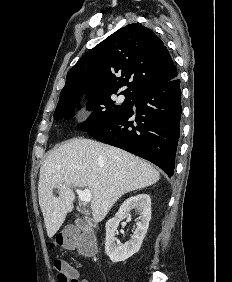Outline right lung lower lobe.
Instances as JSON below:
<instances>
[{"label":"right lung lower lobe","instance_id":"right-lung-lower-lobe-1","mask_svg":"<svg viewBox=\"0 0 232 282\" xmlns=\"http://www.w3.org/2000/svg\"><path fill=\"white\" fill-rule=\"evenodd\" d=\"M136 117L129 111L88 133L154 163L173 176L182 113L178 77L144 87L135 95Z\"/></svg>","mask_w":232,"mask_h":282}]
</instances>
